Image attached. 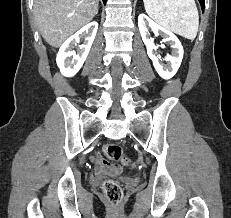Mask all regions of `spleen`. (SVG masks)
<instances>
[{"instance_id": "spleen-1", "label": "spleen", "mask_w": 231, "mask_h": 218, "mask_svg": "<svg viewBox=\"0 0 231 218\" xmlns=\"http://www.w3.org/2000/svg\"><path fill=\"white\" fill-rule=\"evenodd\" d=\"M147 14L176 34L195 39L199 15L194 0H143Z\"/></svg>"}]
</instances>
